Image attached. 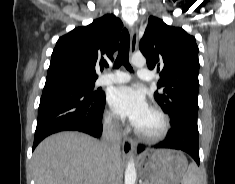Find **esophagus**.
<instances>
[{
	"label": "esophagus",
	"mask_w": 235,
	"mask_h": 184,
	"mask_svg": "<svg viewBox=\"0 0 235 184\" xmlns=\"http://www.w3.org/2000/svg\"><path fill=\"white\" fill-rule=\"evenodd\" d=\"M138 44V29L136 27H132L131 30V42H130V56H132L137 49ZM135 148V143L130 138H123L122 141V154L124 156H129Z\"/></svg>",
	"instance_id": "esophagus-1"
}]
</instances>
